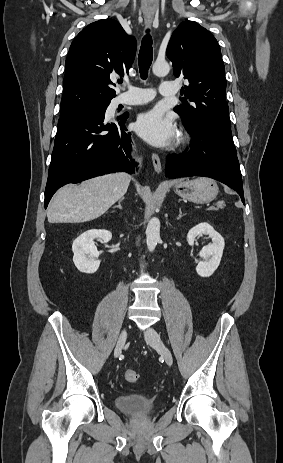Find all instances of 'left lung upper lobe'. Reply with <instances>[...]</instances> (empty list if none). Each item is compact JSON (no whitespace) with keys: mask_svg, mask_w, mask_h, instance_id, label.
<instances>
[{"mask_svg":"<svg viewBox=\"0 0 283 463\" xmlns=\"http://www.w3.org/2000/svg\"><path fill=\"white\" fill-rule=\"evenodd\" d=\"M166 54L174 75L188 81L184 102L174 110L185 128H213L232 135L226 102L225 68L215 37L194 21H185L173 32Z\"/></svg>","mask_w":283,"mask_h":463,"instance_id":"5c2ea615","label":"left lung upper lobe"}]
</instances>
